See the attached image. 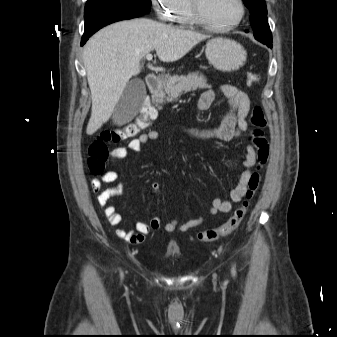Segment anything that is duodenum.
I'll list each match as a JSON object with an SVG mask.
<instances>
[{
	"mask_svg": "<svg viewBox=\"0 0 337 337\" xmlns=\"http://www.w3.org/2000/svg\"><path fill=\"white\" fill-rule=\"evenodd\" d=\"M146 83L151 90H157L161 84V80L156 73H149L146 77Z\"/></svg>",
	"mask_w": 337,
	"mask_h": 337,
	"instance_id": "1",
	"label": "duodenum"
}]
</instances>
